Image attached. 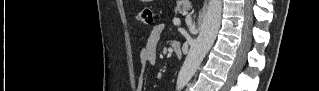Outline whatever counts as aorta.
<instances>
[{
	"instance_id": "aorta-1",
	"label": "aorta",
	"mask_w": 319,
	"mask_h": 91,
	"mask_svg": "<svg viewBox=\"0 0 319 91\" xmlns=\"http://www.w3.org/2000/svg\"><path fill=\"white\" fill-rule=\"evenodd\" d=\"M222 0H209L198 37L192 42L179 71L176 88L183 89L191 80L206 54L213 46L221 24Z\"/></svg>"
}]
</instances>
